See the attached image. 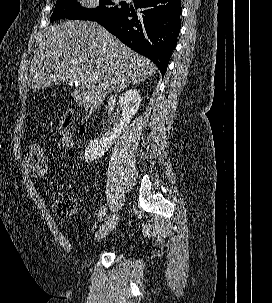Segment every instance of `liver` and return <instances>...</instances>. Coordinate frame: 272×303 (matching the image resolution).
Segmentation results:
<instances>
[{"mask_svg": "<svg viewBox=\"0 0 272 303\" xmlns=\"http://www.w3.org/2000/svg\"><path fill=\"white\" fill-rule=\"evenodd\" d=\"M157 67L90 21H66L47 28L28 71L34 91L65 81L78 82L71 96L85 110L96 109L112 91L153 76ZM98 77L81 82V77Z\"/></svg>", "mask_w": 272, "mask_h": 303, "instance_id": "liver-1", "label": "liver"}]
</instances>
